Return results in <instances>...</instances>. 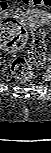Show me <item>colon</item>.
Wrapping results in <instances>:
<instances>
[{"mask_svg":"<svg viewBox=\"0 0 51 153\" xmlns=\"http://www.w3.org/2000/svg\"><path fill=\"white\" fill-rule=\"evenodd\" d=\"M29 6H51V0H23ZM1 46L10 52L21 49L27 40L24 27L15 19H5L1 22ZM29 58L34 66H41L46 59L45 31L36 28L29 51ZM11 73L20 82H28L33 69L29 62L23 57H16L11 64Z\"/></svg>","mask_w":51,"mask_h":153,"instance_id":"5ec220e1","label":"colon"}]
</instances>
